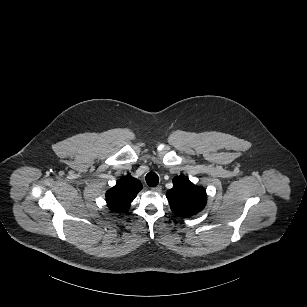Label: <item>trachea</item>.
Wrapping results in <instances>:
<instances>
[{
  "label": "trachea",
  "instance_id": "trachea-1",
  "mask_svg": "<svg viewBox=\"0 0 307 307\" xmlns=\"http://www.w3.org/2000/svg\"><path fill=\"white\" fill-rule=\"evenodd\" d=\"M146 183L150 186V187H155L157 186V184L159 183V177L156 173L154 172H149L146 175Z\"/></svg>",
  "mask_w": 307,
  "mask_h": 307
}]
</instances>
